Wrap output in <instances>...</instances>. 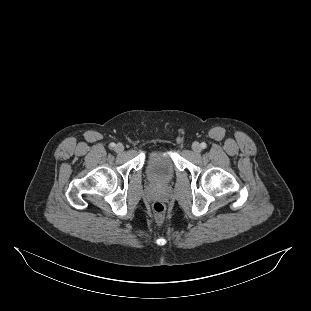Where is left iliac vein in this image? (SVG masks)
Returning a JSON list of instances; mask_svg holds the SVG:
<instances>
[{"label": "left iliac vein", "mask_w": 311, "mask_h": 311, "mask_svg": "<svg viewBox=\"0 0 311 311\" xmlns=\"http://www.w3.org/2000/svg\"><path fill=\"white\" fill-rule=\"evenodd\" d=\"M192 149L195 153H200L201 151V146L199 143L195 142L192 144Z\"/></svg>", "instance_id": "1"}]
</instances>
